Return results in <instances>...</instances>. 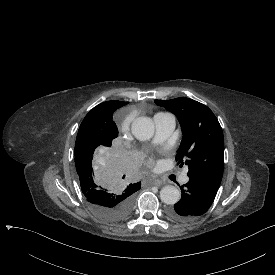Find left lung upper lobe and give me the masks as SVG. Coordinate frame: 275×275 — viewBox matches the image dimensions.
<instances>
[{
  "label": "left lung upper lobe",
  "instance_id": "obj_1",
  "mask_svg": "<svg viewBox=\"0 0 275 275\" xmlns=\"http://www.w3.org/2000/svg\"><path fill=\"white\" fill-rule=\"evenodd\" d=\"M155 103L174 113L180 122L183 137L176 160L188 165V176L220 185L224 168V139L213 112L204 104L186 97L155 100Z\"/></svg>",
  "mask_w": 275,
  "mask_h": 275
}]
</instances>
